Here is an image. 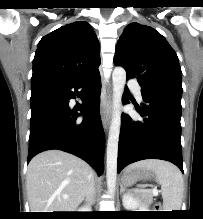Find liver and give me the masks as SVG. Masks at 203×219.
I'll return each instance as SVG.
<instances>
[{"label":"liver","instance_id":"6515ba94","mask_svg":"<svg viewBox=\"0 0 203 219\" xmlns=\"http://www.w3.org/2000/svg\"><path fill=\"white\" fill-rule=\"evenodd\" d=\"M92 179L89 164L72 154L47 150L36 155L27 171L31 212H73L84 200Z\"/></svg>","mask_w":203,"mask_h":219}]
</instances>
